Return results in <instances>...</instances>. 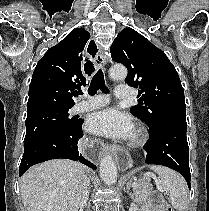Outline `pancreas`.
<instances>
[{"instance_id": "cf45deb5", "label": "pancreas", "mask_w": 209, "mask_h": 211, "mask_svg": "<svg viewBox=\"0 0 209 211\" xmlns=\"http://www.w3.org/2000/svg\"><path fill=\"white\" fill-rule=\"evenodd\" d=\"M152 191V184L148 180H138L133 189V195L137 203H142L148 199Z\"/></svg>"}]
</instances>
